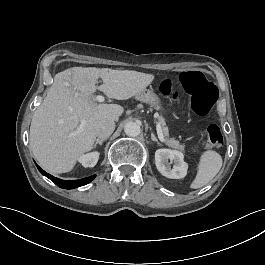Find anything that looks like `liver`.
<instances>
[{"label": "liver", "mask_w": 265, "mask_h": 265, "mask_svg": "<svg viewBox=\"0 0 265 265\" xmlns=\"http://www.w3.org/2000/svg\"><path fill=\"white\" fill-rule=\"evenodd\" d=\"M99 77L103 84L96 87ZM153 79L152 74L95 67H73L56 74L32 117L30 148L34 157L50 173L71 171L79 156L92 150L97 125L104 120L118 121L124 111L117 104H97L96 89L109 98L126 100ZM81 120L86 124L76 133Z\"/></svg>", "instance_id": "liver-1"}]
</instances>
